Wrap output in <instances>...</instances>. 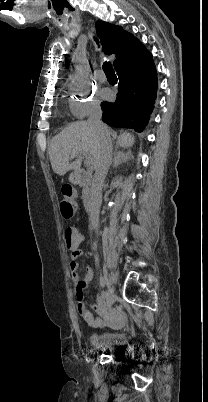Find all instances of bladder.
<instances>
[{"label":"bladder","instance_id":"obj_1","mask_svg":"<svg viewBox=\"0 0 208 402\" xmlns=\"http://www.w3.org/2000/svg\"><path fill=\"white\" fill-rule=\"evenodd\" d=\"M94 348H121L122 339L116 332H94L91 343Z\"/></svg>","mask_w":208,"mask_h":402}]
</instances>
